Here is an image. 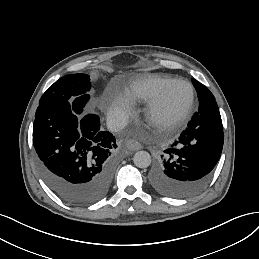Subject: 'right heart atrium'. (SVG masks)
<instances>
[{
    "label": "right heart atrium",
    "mask_w": 259,
    "mask_h": 259,
    "mask_svg": "<svg viewBox=\"0 0 259 259\" xmlns=\"http://www.w3.org/2000/svg\"><path fill=\"white\" fill-rule=\"evenodd\" d=\"M135 110L136 104L126 93L110 96L105 99L102 105L104 114L117 123H127Z\"/></svg>",
    "instance_id": "right-heart-atrium-1"
}]
</instances>
